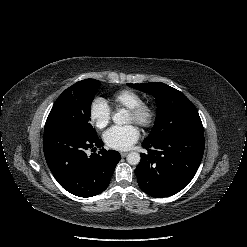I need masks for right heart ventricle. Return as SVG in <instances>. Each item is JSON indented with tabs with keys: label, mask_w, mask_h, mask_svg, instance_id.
Masks as SVG:
<instances>
[{
	"label": "right heart ventricle",
	"mask_w": 247,
	"mask_h": 247,
	"mask_svg": "<svg viewBox=\"0 0 247 247\" xmlns=\"http://www.w3.org/2000/svg\"><path fill=\"white\" fill-rule=\"evenodd\" d=\"M141 101V95L131 89L119 90L111 96V103L117 108H130L140 103Z\"/></svg>",
	"instance_id": "1"
}]
</instances>
